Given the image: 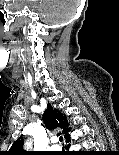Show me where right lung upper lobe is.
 Masks as SVG:
<instances>
[{
    "instance_id": "cb5924a9",
    "label": "right lung upper lobe",
    "mask_w": 119,
    "mask_h": 155,
    "mask_svg": "<svg viewBox=\"0 0 119 155\" xmlns=\"http://www.w3.org/2000/svg\"><path fill=\"white\" fill-rule=\"evenodd\" d=\"M44 123L48 129H55L60 127L63 130L65 137L69 135V124L64 116L59 113L56 109H53L50 104L47 106V110L43 117ZM23 141L16 140L9 151H7L6 155H27L26 151L22 150Z\"/></svg>"
}]
</instances>
